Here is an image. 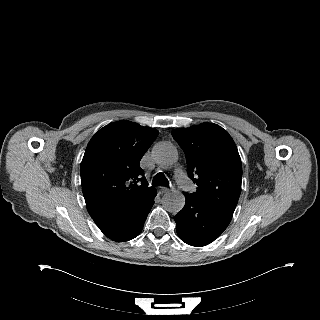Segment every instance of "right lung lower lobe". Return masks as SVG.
<instances>
[{
	"mask_svg": "<svg viewBox=\"0 0 320 320\" xmlns=\"http://www.w3.org/2000/svg\"><path fill=\"white\" fill-rule=\"evenodd\" d=\"M157 192L142 206L110 219L100 220L96 225L111 240L128 241L140 234Z\"/></svg>",
	"mask_w": 320,
	"mask_h": 320,
	"instance_id": "1",
	"label": "right lung lower lobe"
}]
</instances>
